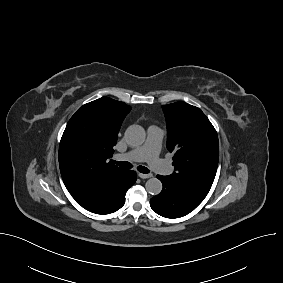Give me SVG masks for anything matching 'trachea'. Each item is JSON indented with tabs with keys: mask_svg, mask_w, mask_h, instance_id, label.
Returning <instances> with one entry per match:
<instances>
[{
	"mask_svg": "<svg viewBox=\"0 0 283 283\" xmlns=\"http://www.w3.org/2000/svg\"><path fill=\"white\" fill-rule=\"evenodd\" d=\"M114 163H116L121 168H125V169H130L133 167V165L130 162H126V161H114ZM137 170L144 174L149 173V169L145 166H138Z\"/></svg>",
	"mask_w": 283,
	"mask_h": 283,
	"instance_id": "3493384b",
	"label": "trachea"
}]
</instances>
